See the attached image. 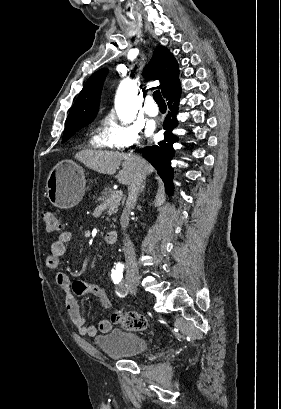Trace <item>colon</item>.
<instances>
[{"instance_id": "obj_1", "label": "colon", "mask_w": 281, "mask_h": 409, "mask_svg": "<svg viewBox=\"0 0 281 409\" xmlns=\"http://www.w3.org/2000/svg\"><path fill=\"white\" fill-rule=\"evenodd\" d=\"M42 220L44 222L45 229L48 233H59L62 231V226L56 212L50 208H44L42 210ZM121 308L114 306L112 308V321L118 323L120 327L126 330H138L145 326V319L138 314L129 312L121 314Z\"/></svg>"}]
</instances>
